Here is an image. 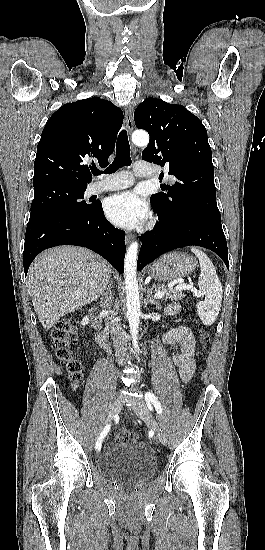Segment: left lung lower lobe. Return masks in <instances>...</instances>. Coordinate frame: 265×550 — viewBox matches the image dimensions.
I'll use <instances>...</instances> for the list:
<instances>
[{
    "mask_svg": "<svg viewBox=\"0 0 265 550\" xmlns=\"http://www.w3.org/2000/svg\"><path fill=\"white\" fill-rule=\"evenodd\" d=\"M141 240L138 270L167 251L189 245L212 250L229 269L228 248L221 220L201 213L184 212L174 217L159 218L156 227L142 235Z\"/></svg>",
    "mask_w": 265,
    "mask_h": 550,
    "instance_id": "1",
    "label": "left lung lower lobe"
}]
</instances>
